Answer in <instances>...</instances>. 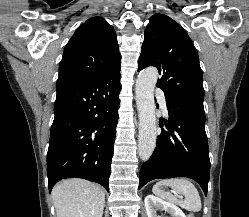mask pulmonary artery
Wrapping results in <instances>:
<instances>
[{
  "label": "pulmonary artery",
  "instance_id": "obj_1",
  "mask_svg": "<svg viewBox=\"0 0 249 217\" xmlns=\"http://www.w3.org/2000/svg\"><path fill=\"white\" fill-rule=\"evenodd\" d=\"M156 95L158 97L160 106L163 108V110L166 112V100H165V96H164V92L160 89H158L156 91Z\"/></svg>",
  "mask_w": 249,
  "mask_h": 217
}]
</instances>
